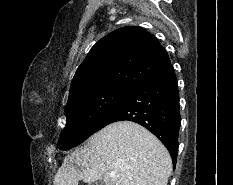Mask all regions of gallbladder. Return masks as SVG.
I'll return each mask as SVG.
<instances>
[{"label": "gallbladder", "instance_id": "gallbladder-1", "mask_svg": "<svg viewBox=\"0 0 233 185\" xmlns=\"http://www.w3.org/2000/svg\"><path fill=\"white\" fill-rule=\"evenodd\" d=\"M91 185H104V182L102 180H98V181L92 183Z\"/></svg>", "mask_w": 233, "mask_h": 185}]
</instances>
